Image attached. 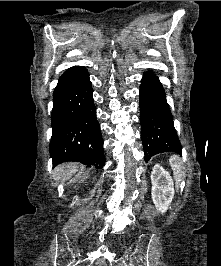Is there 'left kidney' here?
Segmentation results:
<instances>
[{
    "instance_id": "1",
    "label": "left kidney",
    "mask_w": 221,
    "mask_h": 266,
    "mask_svg": "<svg viewBox=\"0 0 221 266\" xmlns=\"http://www.w3.org/2000/svg\"><path fill=\"white\" fill-rule=\"evenodd\" d=\"M151 196L156 209L164 213L174 198V183L170 174L159 164L153 167L151 173Z\"/></svg>"
}]
</instances>
